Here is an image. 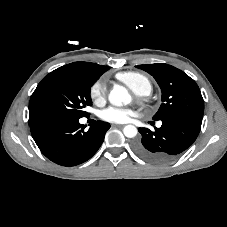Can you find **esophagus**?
<instances>
[{
	"mask_svg": "<svg viewBox=\"0 0 227 227\" xmlns=\"http://www.w3.org/2000/svg\"><path fill=\"white\" fill-rule=\"evenodd\" d=\"M124 125L122 124H113V127H123Z\"/></svg>",
	"mask_w": 227,
	"mask_h": 227,
	"instance_id": "esophagus-1",
	"label": "esophagus"
}]
</instances>
